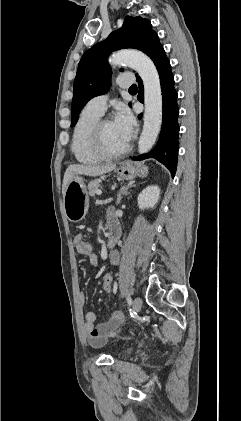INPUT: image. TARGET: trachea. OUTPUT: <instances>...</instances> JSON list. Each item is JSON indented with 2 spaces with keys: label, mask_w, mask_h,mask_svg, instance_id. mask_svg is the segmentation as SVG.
<instances>
[{
  "label": "trachea",
  "mask_w": 241,
  "mask_h": 421,
  "mask_svg": "<svg viewBox=\"0 0 241 421\" xmlns=\"http://www.w3.org/2000/svg\"><path fill=\"white\" fill-rule=\"evenodd\" d=\"M134 90H137V86H136V85H132V86L129 88V91H134Z\"/></svg>",
  "instance_id": "obj_1"
}]
</instances>
